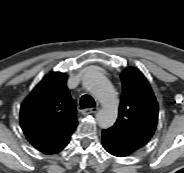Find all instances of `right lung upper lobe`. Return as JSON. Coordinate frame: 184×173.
I'll use <instances>...</instances> for the list:
<instances>
[{
  "label": "right lung upper lobe",
  "instance_id": "right-lung-upper-lobe-1",
  "mask_svg": "<svg viewBox=\"0 0 184 173\" xmlns=\"http://www.w3.org/2000/svg\"><path fill=\"white\" fill-rule=\"evenodd\" d=\"M61 72L46 75L25 99L20 124L27 140L40 152H60L78 124L76 108Z\"/></svg>",
  "mask_w": 184,
  "mask_h": 173
}]
</instances>
